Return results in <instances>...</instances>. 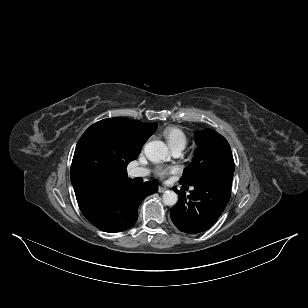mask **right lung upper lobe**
<instances>
[{
    "instance_id": "cb5924a9",
    "label": "right lung upper lobe",
    "mask_w": 308,
    "mask_h": 308,
    "mask_svg": "<svg viewBox=\"0 0 308 308\" xmlns=\"http://www.w3.org/2000/svg\"><path fill=\"white\" fill-rule=\"evenodd\" d=\"M156 129L157 123L123 117L91 125L78 141L70 170L78 205L131 180L126 167Z\"/></svg>"
}]
</instances>
